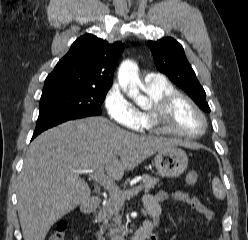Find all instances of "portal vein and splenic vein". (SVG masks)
<instances>
[{
  "instance_id": "1",
  "label": "portal vein and splenic vein",
  "mask_w": 248,
  "mask_h": 240,
  "mask_svg": "<svg viewBox=\"0 0 248 240\" xmlns=\"http://www.w3.org/2000/svg\"><path fill=\"white\" fill-rule=\"evenodd\" d=\"M80 174H89L93 179L98 181L101 185H103L111 195L116 194L119 191V187L115 184V182L105 175L104 168L100 167L96 170L88 169V170H79ZM142 190V186H136L132 189L126 191L123 196L124 198H130L136 194H138Z\"/></svg>"
}]
</instances>
